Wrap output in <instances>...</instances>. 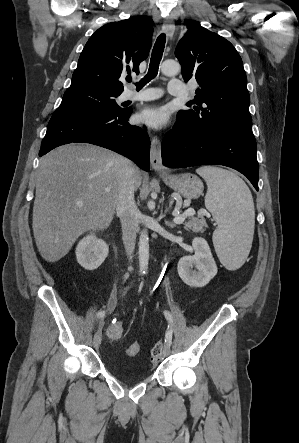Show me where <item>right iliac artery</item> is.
Masks as SVG:
<instances>
[{
	"instance_id": "82829eb1",
	"label": "right iliac artery",
	"mask_w": 299,
	"mask_h": 443,
	"mask_svg": "<svg viewBox=\"0 0 299 443\" xmlns=\"http://www.w3.org/2000/svg\"><path fill=\"white\" fill-rule=\"evenodd\" d=\"M105 316V311H99L97 314L98 318H103Z\"/></svg>"
}]
</instances>
